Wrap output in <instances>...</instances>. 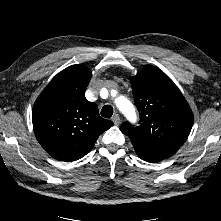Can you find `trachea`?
<instances>
[{
    "label": "trachea",
    "instance_id": "3493384b",
    "mask_svg": "<svg viewBox=\"0 0 221 221\" xmlns=\"http://www.w3.org/2000/svg\"><path fill=\"white\" fill-rule=\"evenodd\" d=\"M113 115V107L111 105H105L101 110V116L110 118Z\"/></svg>",
    "mask_w": 221,
    "mask_h": 221
}]
</instances>
